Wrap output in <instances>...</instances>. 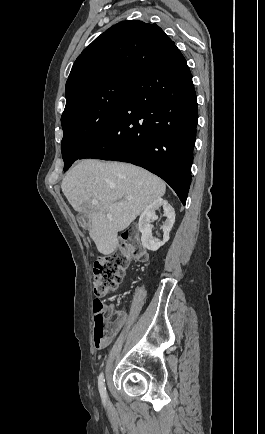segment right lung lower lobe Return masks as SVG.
I'll return each mask as SVG.
<instances>
[{
  "label": "right lung lower lobe",
  "instance_id": "right-lung-lower-lobe-1",
  "mask_svg": "<svg viewBox=\"0 0 265 434\" xmlns=\"http://www.w3.org/2000/svg\"><path fill=\"white\" fill-rule=\"evenodd\" d=\"M192 75L177 46L137 75L115 120L79 159L141 166L186 202L198 120Z\"/></svg>",
  "mask_w": 265,
  "mask_h": 434
}]
</instances>
